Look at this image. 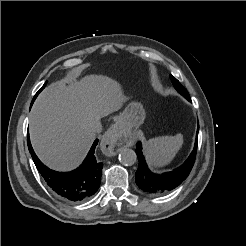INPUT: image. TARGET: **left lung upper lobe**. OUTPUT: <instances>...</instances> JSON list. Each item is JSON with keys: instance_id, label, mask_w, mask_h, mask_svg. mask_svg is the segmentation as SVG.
<instances>
[{"instance_id": "5c2ea615", "label": "left lung upper lobe", "mask_w": 246, "mask_h": 246, "mask_svg": "<svg viewBox=\"0 0 246 246\" xmlns=\"http://www.w3.org/2000/svg\"><path fill=\"white\" fill-rule=\"evenodd\" d=\"M171 81L173 83V86L175 87V89L181 93L185 98L189 97V94L187 92V90L180 84V82L173 77L172 75H170Z\"/></svg>"}]
</instances>
